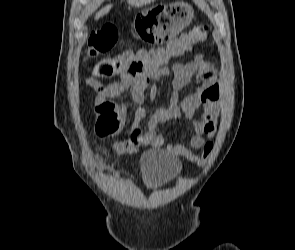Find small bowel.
Listing matches in <instances>:
<instances>
[{
    "mask_svg": "<svg viewBox=\"0 0 295 250\" xmlns=\"http://www.w3.org/2000/svg\"><path fill=\"white\" fill-rule=\"evenodd\" d=\"M184 52L167 48L155 50H127L118 57L122 63L117 72L118 79L107 84L96 78H88L86 85L95 90V107L111 98L124 93H130L132 100L142 105L145 91L150 87V101L155 103L158 87L157 82L169 75L167 66L172 57L180 56ZM173 71V90L168 104L155 109L150 115L145 130L141 128V121L145 117V110L139 109L131 129L128 140L116 142L114 151L117 154L134 155L145 146L161 147L165 144V137L158 133V125L182 115L190 122L193 134L189 137V144L194 149L203 148L214 137L220 114V90L218 72L202 55H196L191 61L175 63ZM197 77V89L180 99L179 90ZM200 110L199 115L196 113ZM167 149L177 155L190 159L193 155L190 149L182 144L171 143Z\"/></svg>",
    "mask_w": 295,
    "mask_h": 250,
    "instance_id": "small-bowel-1",
    "label": "small bowel"
}]
</instances>
